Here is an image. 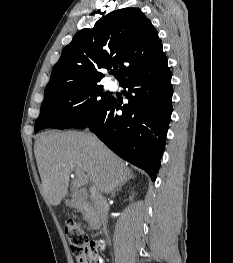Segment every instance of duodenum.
Here are the masks:
<instances>
[{
	"label": "duodenum",
	"mask_w": 233,
	"mask_h": 263,
	"mask_svg": "<svg viewBox=\"0 0 233 263\" xmlns=\"http://www.w3.org/2000/svg\"><path fill=\"white\" fill-rule=\"evenodd\" d=\"M70 204L72 207L85 214V217L93 230L99 231L101 229L99 211L90 204L87 198L76 196L70 200Z\"/></svg>",
	"instance_id": "1"
}]
</instances>
